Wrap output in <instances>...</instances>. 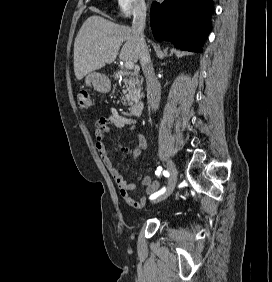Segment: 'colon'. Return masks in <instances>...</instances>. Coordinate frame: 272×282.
<instances>
[{"label": "colon", "mask_w": 272, "mask_h": 282, "mask_svg": "<svg viewBox=\"0 0 272 282\" xmlns=\"http://www.w3.org/2000/svg\"><path fill=\"white\" fill-rule=\"evenodd\" d=\"M77 105L82 110H88L93 108L94 99L86 90H80L76 95Z\"/></svg>", "instance_id": "1"}]
</instances>
